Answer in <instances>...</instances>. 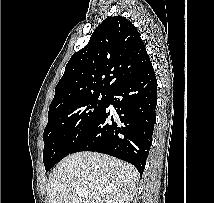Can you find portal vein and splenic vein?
Listing matches in <instances>:
<instances>
[{
  "mask_svg": "<svg viewBox=\"0 0 214 203\" xmlns=\"http://www.w3.org/2000/svg\"><path fill=\"white\" fill-rule=\"evenodd\" d=\"M76 193L81 197H86L88 195V192L84 190L83 188H79Z\"/></svg>",
  "mask_w": 214,
  "mask_h": 203,
  "instance_id": "obj_1",
  "label": "portal vein and splenic vein"
}]
</instances>
